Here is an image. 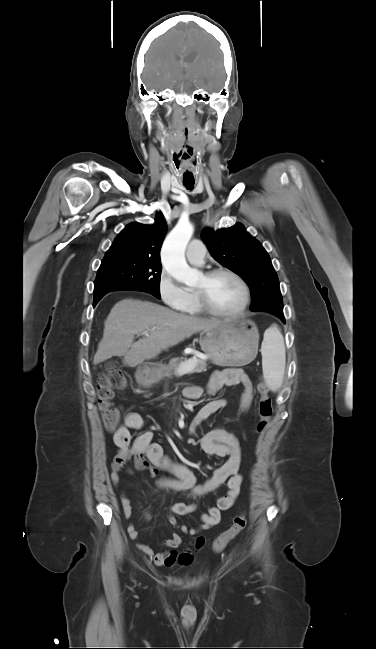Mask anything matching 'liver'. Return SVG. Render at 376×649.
<instances>
[{
    "instance_id": "liver-1",
    "label": "liver",
    "mask_w": 376,
    "mask_h": 649,
    "mask_svg": "<svg viewBox=\"0 0 376 649\" xmlns=\"http://www.w3.org/2000/svg\"><path fill=\"white\" fill-rule=\"evenodd\" d=\"M221 323L180 314L149 301L124 299L114 305L104 323L93 363L124 356V364L136 367L185 338ZM143 332L148 336L134 342V336Z\"/></svg>"
}]
</instances>
